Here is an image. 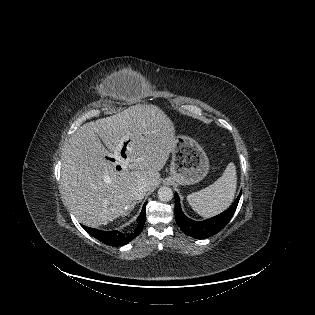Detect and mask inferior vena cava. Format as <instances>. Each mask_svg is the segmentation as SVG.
Returning <instances> with one entry per match:
<instances>
[{"label": "inferior vena cava", "instance_id": "obj_1", "mask_svg": "<svg viewBox=\"0 0 315 315\" xmlns=\"http://www.w3.org/2000/svg\"><path fill=\"white\" fill-rule=\"evenodd\" d=\"M149 190V186L146 182H141L136 187L135 196L137 199H141L145 196L146 192Z\"/></svg>", "mask_w": 315, "mask_h": 315}]
</instances>
